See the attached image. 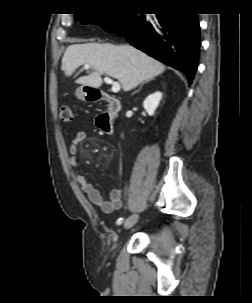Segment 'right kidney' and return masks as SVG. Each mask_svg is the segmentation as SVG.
I'll return each instance as SVG.
<instances>
[{"label": "right kidney", "instance_id": "ca27d5eb", "mask_svg": "<svg viewBox=\"0 0 252 303\" xmlns=\"http://www.w3.org/2000/svg\"><path fill=\"white\" fill-rule=\"evenodd\" d=\"M162 98V93L157 91L150 94L143 102V107L148 113V115L153 116L156 108L158 107L160 100Z\"/></svg>", "mask_w": 252, "mask_h": 303}]
</instances>
